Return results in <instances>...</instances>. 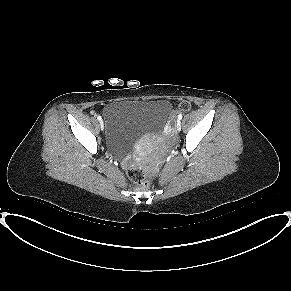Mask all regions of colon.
<instances>
[{
  "label": "colon",
  "mask_w": 291,
  "mask_h": 291,
  "mask_svg": "<svg viewBox=\"0 0 291 291\" xmlns=\"http://www.w3.org/2000/svg\"><path fill=\"white\" fill-rule=\"evenodd\" d=\"M189 108V105L187 102H182L179 105L180 110H187ZM127 176L130 179L131 182H133L136 185L144 186L146 184L145 176L144 174L137 168L130 166L127 170Z\"/></svg>",
  "instance_id": "1"
}]
</instances>
